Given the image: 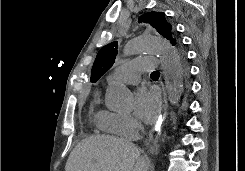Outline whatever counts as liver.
Returning a JSON list of instances; mask_svg holds the SVG:
<instances>
[{"label":"liver","instance_id":"obj_1","mask_svg":"<svg viewBox=\"0 0 245 171\" xmlns=\"http://www.w3.org/2000/svg\"><path fill=\"white\" fill-rule=\"evenodd\" d=\"M133 143L113 136H90L71 152L65 171H148Z\"/></svg>","mask_w":245,"mask_h":171}]
</instances>
